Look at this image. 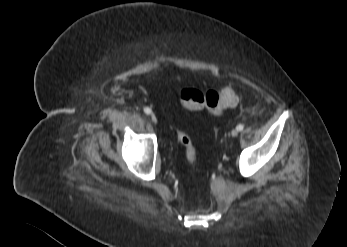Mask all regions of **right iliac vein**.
Listing matches in <instances>:
<instances>
[{"instance_id": "1", "label": "right iliac vein", "mask_w": 347, "mask_h": 247, "mask_svg": "<svg viewBox=\"0 0 347 247\" xmlns=\"http://www.w3.org/2000/svg\"><path fill=\"white\" fill-rule=\"evenodd\" d=\"M150 119H151V121H152L154 124L157 123V118H156V116H155L154 114H151V115H150Z\"/></svg>"}]
</instances>
